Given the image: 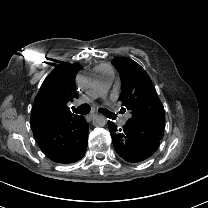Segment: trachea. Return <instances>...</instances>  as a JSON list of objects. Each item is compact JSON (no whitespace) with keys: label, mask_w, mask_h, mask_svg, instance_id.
Wrapping results in <instances>:
<instances>
[{"label":"trachea","mask_w":208,"mask_h":208,"mask_svg":"<svg viewBox=\"0 0 208 208\" xmlns=\"http://www.w3.org/2000/svg\"><path fill=\"white\" fill-rule=\"evenodd\" d=\"M71 109L77 114H88L90 112V106L88 104H82L78 108L72 107ZM99 112L109 118H114V115L105 108H99Z\"/></svg>","instance_id":"obj_1"}]
</instances>
